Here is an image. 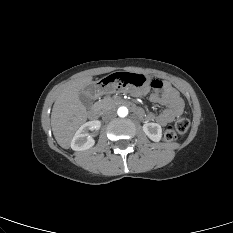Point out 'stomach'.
Instances as JSON below:
<instances>
[{"mask_svg":"<svg viewBox=\"0 0 233 233\" xmlns=\"http://www.w3.org/2000/svg\"><path fill=\"white\" fill-rule=\"evenodd\" d=\"M151 78L144 73L134 71L120 72L114 74H105L101 78L99 85H94L97 95L111 93L120 88L132 89L135 86L140 87L148 85Z\"/></svg>","mask_w":233,"mask_h":233,"instance_id":"stomach-1","label":"stomach"}]
</instances>
